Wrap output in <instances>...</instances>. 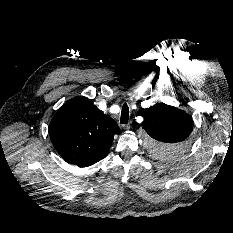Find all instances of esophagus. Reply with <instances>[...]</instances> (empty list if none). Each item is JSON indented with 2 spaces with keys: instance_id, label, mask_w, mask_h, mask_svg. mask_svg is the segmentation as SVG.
Segmentation results:
<instances>
[{
  "instance_id": "1",
  "label": "esophagus",
  "mask_w": 233,
  "mask_h": 233,
  "mask_svg": "<svg viewBox=\"0 0 233 233\" xmlns=\"http://www.w3.org/2000/svg\"><path fill=\"white\" fill-rule=\"evenodd\" d=\"M131 127H132V122H129L128 124H126V125L123 126V128L125 130H129V129H131Z\"/></svg>"
}]
</instances>
